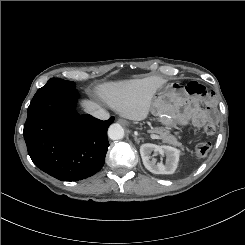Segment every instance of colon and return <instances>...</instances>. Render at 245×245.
I'll return each mask as SVG.
<instances>
[{
    "label": "colon",
    "mask_w": 245,
    "mask_h": 245,
    "mask_svg": "<svg viewBox=\"0 0 245 245\" xmlns=\"http://www.w3.org/2000/svg\"><path fill=\"white\" fill-rule=\"evenodd\" d=\"M203 131L207 135H213L216 131L215 125L212 123L205 124ZM210 150V143L201 142L198 143L195 147V155L197 157H204Z\"/></svg>",
    "instance_id": "obj_1"
}]
</instances>
